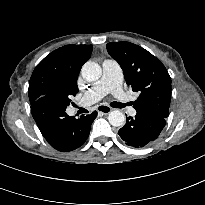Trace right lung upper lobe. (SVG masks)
<instances>
[{
    "instance_id": "obj_1",
    "label": "right lung upper lobe",
    "mask_w": 205,
    "mask_h": 205,
    "mask_svg": "<svg viewBox=\"0 0 205 205\" xmlns=\"http://www.w3.org/2000/svg\"><path fill=\"white\" fill-rule=\"evenodd\" d=\"M92 49V45H66L47 55L30 78V104L47 94H60L64 90L78 92L77 77Z\"/></svg>"
}]
</instances>
